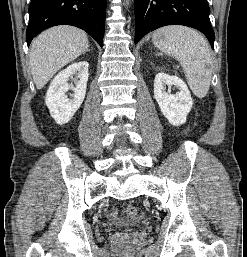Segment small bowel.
Instances as JSON below:
<instances>
[{
  "label": "small bowel",
  "mask_w": 247,
  "mask_h": 257,
  "mask_svg": "<svg viewBox=\"0 0 247 257\" xmlns=\"http://www.w3.org/2000/svg\"><path fill=\"white\" fill-rule=\"evenodd\" d=\"M113 211H115L116 212V210H113ZM117 213V212H116ZM119 219H117V220H115V221H118Z\"/></svg>",
  "instance_id": "1"
}]
</instances>
